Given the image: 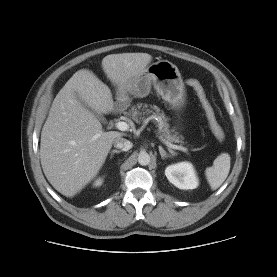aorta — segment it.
Returning <instances> with one entry per match:
<instances>
[{"label":"aorta","mask_w":277,"mask_h":277,"mask_svg":"<svg viewBox=\"0 0 277 277\" xmlns=\"http://www.w3.org/2000/svg\"><path fill=\"white\" fill-rule=\"evenodd\" d=\"M138 162L142 166H146L150 163V155L146 152H141L138 155Z\"/></svg>","instance_id":"762f6f07"}]
</instances>
